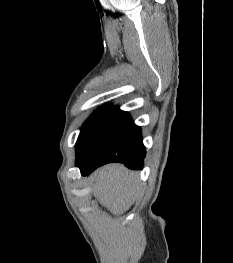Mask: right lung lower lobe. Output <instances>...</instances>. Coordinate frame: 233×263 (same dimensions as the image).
I'll use <instances>...</instances> for the list:
<instances>
[{"instance_id": "1", "label": "right lung lower lobe", "mask_w": 233, "mask_h": 263, "mask_svg": "<svg viewBox=\"0 0 233 263\" xmlns=\"http://www.w3.org/2000/svg\"><path fill=\"white\" fill-rule=\"evenodd\" d=\"M145 147L141 129L127 112L111 108L102 120L76 143V166L83 175L110 162L142 169Z\"/></svg>"}]
</instances>
